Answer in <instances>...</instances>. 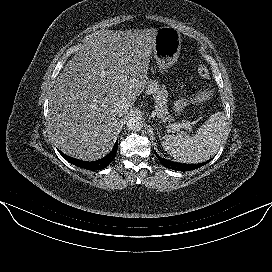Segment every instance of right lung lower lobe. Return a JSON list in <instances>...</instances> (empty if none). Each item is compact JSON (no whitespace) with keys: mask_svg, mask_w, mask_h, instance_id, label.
I'll use <instances>...</instances> for the list:
<instances>
[{"mask_svg":"<svg viewBox=\"0 0 272 272\" xmlns=\"http://www.w3.org/2000/svg\"><path fill=\"white\" fill-rule=\"evenodd\" d=\"M117 148H118V141L115 143L114 148L106 157H104L100 160H97V161H93V162L81 161L78 159H74V158H71V157L63 154L60 151L59 152L68 162H70L78 167L88 169V170H101V169L106 168L112 162V160L115 158Z\"/></svg>","mask_w":272,"mask_h":272,"instance_id":"1","label":"right lung lower lobe"}]
</instances>
